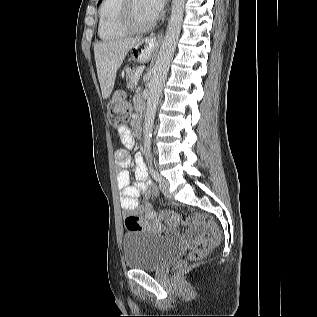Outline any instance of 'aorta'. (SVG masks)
<instances>
[{"label":"aorta","instance_id":"762f6f07","mask_svg":"<svg viewBox=\"0 0 317 317\" xmlns=\"http://www.w3.org/2000/svg\"><path fill=\"white\" fill-rule=\"evenodd\" d=\"M184 7L185 0L172 1V10L166 34L160 47L156 63L152 70V77L148 85L149 93L147 98L146 113L144 120L143 144L144 150L149 158L150 163L152 162L151 138L154 126V119L156 115L159 98L162 92L163 84L165 83V80L167 78L170 63L173 59L176 44L180 36L184 15Z\"/></svg>","mask_w":317,"mask_h":317}]
</instances>
